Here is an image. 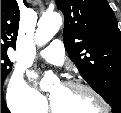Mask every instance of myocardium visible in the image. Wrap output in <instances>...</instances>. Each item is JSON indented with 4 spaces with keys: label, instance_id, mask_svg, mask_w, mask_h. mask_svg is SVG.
<instances>
[{
    "label": "myocardium",
    "instance_id": "myocardium-1",
    "mask_svg": "<svg viewBox=\"0 0 121 113\" xmlns=\"http://www.w3.org/2000/svg\"><path fill=\"white\" fill-rule=\"evenodd\" d=\"M61 85L71 90L80 91V92H88L92 94L102 104L103 106L102 113L109 112V104L107 100L91 86L84 84V83L74 82V81H67V82L62 83ZM49 106H50V110L52 113H59L56 111L55 106L52 103L51 99L49 100Z\"/></svg>",
    "mask_w": 121,
    "mask_h": 113
}]
</instances>
